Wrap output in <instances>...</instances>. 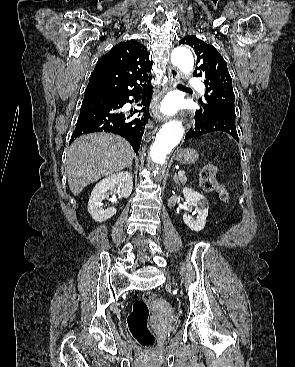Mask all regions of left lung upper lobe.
I'll return each instance as SVG.
<instances>
[{"instance_id": "5c2ea615", "label": "left lung upper lobe", "mask_w": 295, "mask_h": 367, "mask_svg": "<svg viewBox=\"0 0 295 367\" xmlns=\"http://www.w3.org/2000/svg\"><path fill=\"white\" fill-rule=\"evenodd\" d=\"M181 44L189 45L197 54L199 66L196 67L193 75L202 77L206 85V103L200 99L198 101L200 106L207 109L224 108L235 111L232 79L223 57L212 45L206 44L193 35L181 39L179 45Z\"/></svg>"}]
</instances>
